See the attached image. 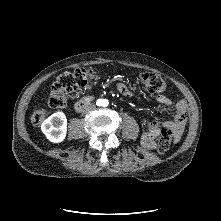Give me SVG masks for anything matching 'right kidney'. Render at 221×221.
<instances>
[{"label":"right kidney","instance_id":"ca27d5eb","mask_svg":"<svg viewBox=\"0 0 221 221\" xmlns=\"http://www.w3.org/2000/svg\"><path fill=\"white\" fill-rule=\"evenodd\" d=\"M46 138L53 143L62 142L67 133V119L63 112H56L41 124Z\"/></svg>","mask_w":221,"mask_h":221}]
</instances>
